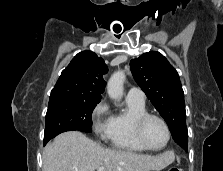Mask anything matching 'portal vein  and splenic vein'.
I'll list each match as a JSON object with an SVG mask.
<instances>
[{
	"instance_id": "1",
	"label": "portal vein and splenic vein",
	"mask_w": 223,
	"mask_h": 171,
	"mask_svg": "<svg viewBox=\"0 0 223 171\" xmlns=\"http://www.w3.org/2000/svg\"><path fill=\"white\" fill-rule=\"evenodd\" d=\"M98 171H104V167L101 166V167L98 169Z\"/></svg>"
}]
</instances>
